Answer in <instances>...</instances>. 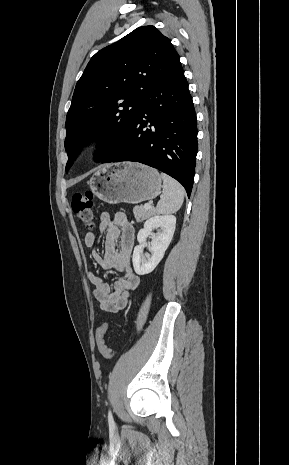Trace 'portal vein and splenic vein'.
I'll return each instance as SVG.
<instances>
[{
    "mask_svg": "<svg viewBox=\"0 0 289 465\" xmlns=\"http://www.w3.org/2000/svg\"><path fill=\"white\" fill-rule=\"evenodd\" d=\"M144 208H145V209H150V208H151V204H150V203H146V204L144 205Z\"/></svg>",
    "mask_w": 289,
    "mask_h": 465,
    "instance_id": "18ae733b",
    "label": "portal vein and splenic vein"
}]
</instances>
